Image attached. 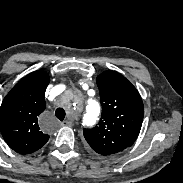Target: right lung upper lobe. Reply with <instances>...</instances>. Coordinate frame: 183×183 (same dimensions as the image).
Wrapping results in <instances>:
<instances>
[{"label":"right lung upper lobe","instance_id":"right-lung-upper-lobe-1","mask_svg":"<svg viewBox=\"0 0 183 183\" xmlns=\"http://www.w3.org/2000/svg\"><path fill=\"white\" fill-rule=\"evenodd\" d=\"M45 71H35L20 80L0 107V131L6 143L20 154L40 149L49 139L38 125L45 110V90L49 84Z\"/></svg>","mask_w":183,"mask_h":183}]
</instances>
